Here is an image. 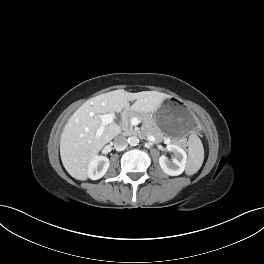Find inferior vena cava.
Here are the masks:
<instances>
[{
	"mask_svg": "<svg viewBox=\"0 0 264 264\" xmlns=\"http://www.w3.org/2000/svg\"><path fill=\"white\" fill-rule=\"evenodd\" d=\"M128 146L127 138L123 135H118L114 138V147L117 151H122Z\"/></svg>",
	"mask_w": 264,
	"mask_h": 264,
	"instance_id": "602c4592",
	"label": "inferior vena cava"
}]
</instances>
